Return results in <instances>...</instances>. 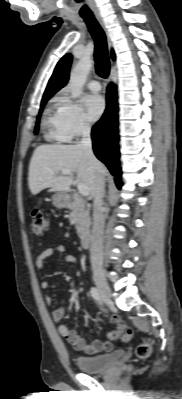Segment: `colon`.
<instances>
[{"label":"colon","instance_id":"1","mask_svg":"<svg viewBox=\"0 0 182 399\" xmlns=\"http://www.w3.org/2000/svg\"><path fill=\"white\" fill-rule=\"evenodd\" d=\"M48 228V222L44 215L40 212H34L31 216V232L35 236H42ZM132 336V330L128 326H123L122 328V339L124 341L130 340ZM152 351V343L150 340H144L140 343L136 349V354L141 359H146L149 357Z\"/></svg>","mask_w":182,"mask_h":399}]
</instances>
